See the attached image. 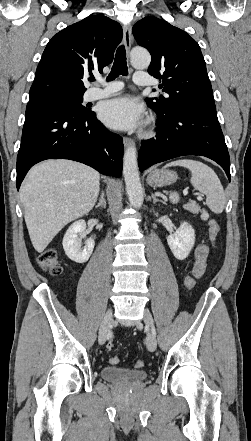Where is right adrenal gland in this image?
Listing matches in <instances>:
<instances>
[{
  "instance_id": "obj_1",
  "label": "right adrenal gland",
  "mask_w": 251,
  "mask_h": 441,
  "mask_svg": "<svg viewBox=\"0 0 251 441\" xmlns=\"http://www.w3.org/2000/svg\"><path fill=\"white\" fill-rule=\"evenodd\" d=\"M95 208H96V209H97V208H104V209H106V200H105V195H104V192H103V191L101 192L99 202H98V204L95 206Z\"/></svg>"
}]
</instances>
